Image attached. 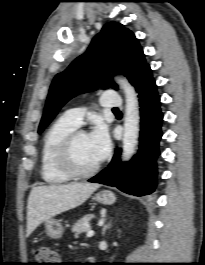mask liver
<instances>
[{"label":"liver","mask_w":205,"mask_h":265,"mask_svg":"<svg viewBox=\"0 0 205 265\" xmlns=\"http://www.w3.org/2000/svg\"><path fill=\"white\" fill-rule=\"evenodd\" d=\"M98 188L96 183L33 187L27 204V236L42 222L80 206Z\"/></svg>","instance_id":"6515ba94"}]
</instances>
